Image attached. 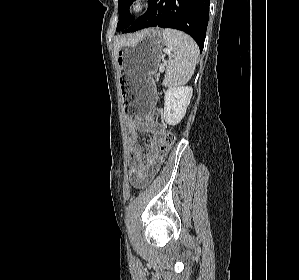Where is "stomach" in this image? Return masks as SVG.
<instances>
[{"mask_svg": "<svg viewBox=\"0 0 299 280\" xmlns=\"http://www.w3.org/2000/svg\"><path fill=\"white\" fill-rule=\"evenodd\" d=\"M164 46L158 29H146L124 44L117 54L121 73L120 91L127 116L144 118L153 108L158 71Z\"/></svg>", "mask_w": 299, "mask_h": 280, "instance_id": "obj_1", "label": "stomach"}]
</instances>
